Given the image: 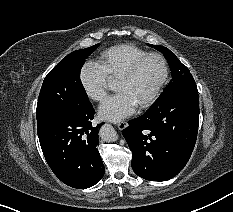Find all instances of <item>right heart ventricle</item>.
<instances>
[{"mask_svg": "<svg viewBox=\"0 0 233 212\" xmlns=\"http://www.w3.org/2000/svg\"><path fill=\"white\" fill-rule=\"evenodd\" d=\"M147 53L146 50L133 44L115 45L101 53L97 65L108 79L114 80L118 79L134 60Z\"/></svg>", "mask_w": 233, "mask_h": 212, "instance_id": "1", "label": "right heart ventricle"}]
</instances>
